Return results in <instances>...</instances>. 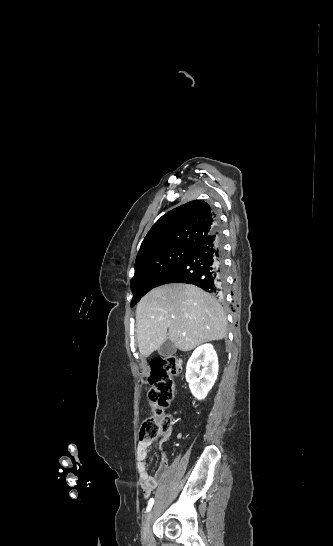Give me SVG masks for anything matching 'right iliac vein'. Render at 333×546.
I'll return each mask as SVG.
<instances>
[{
  "instance_id": "obj_1",
  "label": "right iliac vein",
  "mask_w": 333,
  "mask_h": 546,
  "mask_svg": "<svg viewBox=\"0 0 333 546\" xmlns=\"http://www.w3.org/2000/svg\"><path fill=\"white\" fill-rule=\"evenodd\" d=\"M153 515H154V509H152L145 518L142 531H141V538L143 542H146L148 540L149 530H150V525L153 519Z\"/></svg>"
}]
</instances>
